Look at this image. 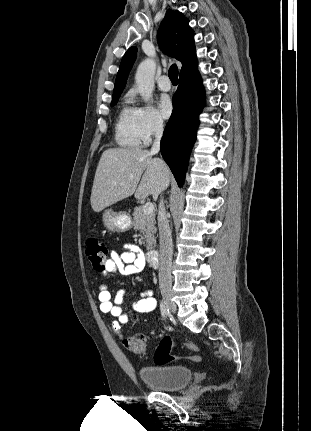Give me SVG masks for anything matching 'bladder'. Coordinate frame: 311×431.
Segmentation results:
<instances>
[{
  "label": "bladder",
  "mask_w": 311,
  "mask_h": 431,
  "mask_svg": "<svg viewBox=\"0 0 311 431\" xmlns=\"http://www.w3.org/2000/svg\"><path fill=\"white\" fill-rule=\"evenodd\" d=\"M138 373L146 385L164 391L183 388L193 377L191 369L184 365L142 366Z\"/></svg>",
  "instance_id": "bladder-1"
}]
</instances>
